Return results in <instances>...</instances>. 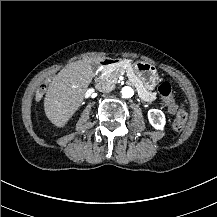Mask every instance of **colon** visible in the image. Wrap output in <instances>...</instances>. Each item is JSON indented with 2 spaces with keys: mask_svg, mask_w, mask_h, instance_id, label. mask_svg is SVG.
I'll return each instance as SVG.
<instances>
[{
  "mask_svg": "<svg viewBox=\"0 0 217 217\" xmlns=\"http://www.w3.org/2000/svg\"><path fill=\"white\" fill-rule=\"evenodd\" d=\"M160 96L166 101L167 108L174 114L173 128L177 131L183 130L188 121V113L183 104L178 105L172 98V86L168 81H163L158 86ZM40 93L37 94V98Z\"/></svg>",
  "mask_w": 217,
  "mask_h": 217,
  "instance_id": "obj_1",
  "label": "colon"
}]
</instances>
